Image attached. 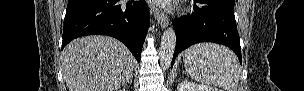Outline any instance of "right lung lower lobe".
Here are the masks:
<instances>
[{
	"instance_id": "1",
	"label": "right lung lower lobe",
	"mask_w": 304,
	"mask_h": 91,
	"mask_svg": "<svg viewBox=\"0 0 304 91\" xmlns=\"http://www.w3.org/2000/svg\"><path fill=\"white\" fill-rule=\"evenodd\" d=\"M149 25L144 0H68L62 49L77 37L103 34L123 42L140 62Z\"/></svg>"
}]
</instances>
